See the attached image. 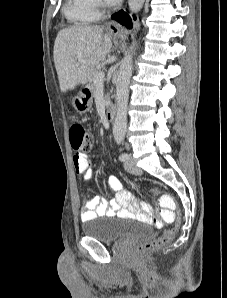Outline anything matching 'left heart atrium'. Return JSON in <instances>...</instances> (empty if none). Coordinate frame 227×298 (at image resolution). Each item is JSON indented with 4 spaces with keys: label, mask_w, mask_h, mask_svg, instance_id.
Returning <instances> with one entry per match:
<instances>
[{
    "label": "left heart atrium",
    "mask_w": 227,
    "mask_h": 298,
    "mask_svg": "<svg viewBox=\"0 0 227 298\" xmlns=\"http://www.w3.org/2000/svg\"><path fill=\"white\" fill-rule=\"evenodd\" d=\"M109 5L118 4L121 0H104Z\"/></svg>",
    "instance_id": "39dd6f15"
}]
</instances>
